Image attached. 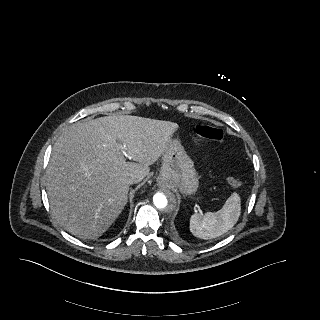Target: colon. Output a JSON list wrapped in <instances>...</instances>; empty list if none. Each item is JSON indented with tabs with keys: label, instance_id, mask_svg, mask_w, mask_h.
Here are the masks:
<instances>
[{
	"label": "colon",
	"instance_id": "obj_1",
	"mask_svg": "<svg viewBox=\"0 0 320 320\" xmlns=\"http://www.w3.org/2000/svg\"><path fill=\"white\" fill-rule=\"evenodd\" d=\"M194 130H195V133L199 137L207 139V140L214 142V143L221 142L224 137V133H223L222 129L215 127V126L208 125L203 122L197 123L194 126ZM227 182L232 187L241 186V181L238 178L229 177V178H227Z\"/></svg>",
	"mask_w": 320,
	"mask_h": 320
}]
</instances>
